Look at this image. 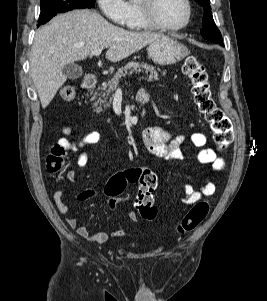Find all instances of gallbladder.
<instances>
[{"mask_svg": "<svg viewBox=\"0 0 267 301\" xmlns=\"http://www.w3.org/2000/svg\"><path fill=\"white\" fill-rule=\"evenodd\" d=\"M62 70L63 73L71 80L79 79L83 75L82 68L75 63L65 65Z\"/></svg>", "mask_w": 267, "mask_h": 301, "instance_id": "obj_1", "label": "gallbladder"}]
</instances>
